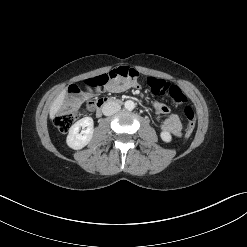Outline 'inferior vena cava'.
Returning a JSON list of instances; mask_svg holds the SVG:
<instances>
[{"label":"inferior vena cava","instance_id":"602c4592","mask_svg":"<svg viewBox=\"0 0 247 247\" xmlns=\"http://www.w3.org/2000/svg\"><path fill=\"white\" fill-rule=\"evenodd\" d=\"M121 106L115 101H109L104 104L102 112L105 116L113 115L120 110Z\"/></svg>","mask_w":247,"mask_h":247}]
</instances>
